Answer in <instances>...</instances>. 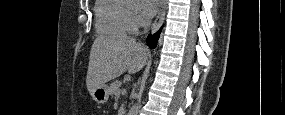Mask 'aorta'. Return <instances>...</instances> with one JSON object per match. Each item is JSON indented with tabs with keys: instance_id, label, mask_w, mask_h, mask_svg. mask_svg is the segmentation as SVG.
I'll use <instances>...</instances> for the list:
<instances>
[{
	"instance_id": "aorta-1",
	"label": "aorta",
	"mask_w": 285,
	"mask_h": 115,
	"mask_svg": "<svg viewBox=\"0 0 285 115\" xmlns=\"http://www.w3.org/2000/svg\"><path fill=\"white\" fill-rule=\"evenodd\" d=\"M138 113V105H133L129 110V115H137Z\"/></svg>"
}]
</instances>
